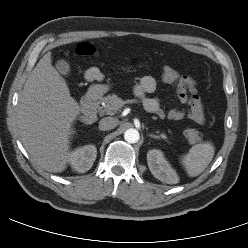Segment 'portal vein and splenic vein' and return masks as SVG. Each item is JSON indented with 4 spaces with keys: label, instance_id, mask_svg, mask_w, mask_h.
I'll list each match as a JSON object with an SVG mask.
<instances>
[{
    "label": "portal vein and splenic vein",
    "instance_id": "18ae733b",
    "mask_svg": "<svg viewBox=\"0 0 248 248\" xmlns=\"http://www.w3.org/2000/svg\"><path fill=\"white\" fill-rule=\"evenodd\" d=\"M120 103H121V104H124V101H123V100H121V101H120Z\"/></svg>",
    "mask_w": 248,
    "mask_h": 248
}]
</instances>
